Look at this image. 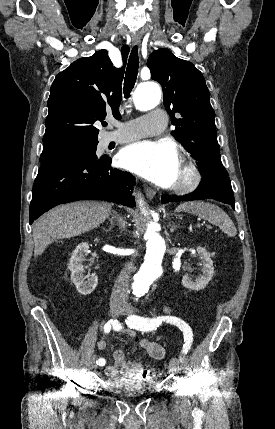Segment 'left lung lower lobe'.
I'll return each mask as SVG.
<instances>
[{"label": "left lung lower lobe", "mask_w": 275, "mask_h": 429, "mask_svg": "<svg viewBox=\"0 0 275 429\" xmlns=\"http://www.w3.org/2000/svg\"><path fill=\"white\" fill-rule=\"evenodd\" d=\"M208 198L229 204L233 209H235L234 194L228 175L218 172L202 174V180L194 192L181 197L162 196L161 202L165 204L174 201H190Z\"/></svg>", "instance_id": "1"}]
</instances>
